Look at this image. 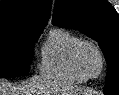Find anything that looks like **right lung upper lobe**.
<instances>
[{"label": "right lung upper lobe", "mask_w": 119, "mask_h": 95, "mask_svg": "<svg viewBox=\"0 0 119 95\" xmlns=\"http://www.w3.org/2000/svg\"><path fill=\"white\" fill-rule=\"evenodd\" d=\"M51 4L52 0H1L0 34L19 28L43 30Z\"/></svg>", "instance_id": "right-lung-upper-lobe-1"}]
</instances>
